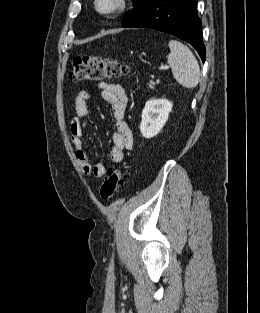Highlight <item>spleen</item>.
<instances>
[{"label":"spleen","instance_id":"3e777b00","mask_svg":"<svg viewBox=\"0 0 260 313\" xmlns=\"http://www.w3.org/2000/svg\"><path fill=\"white\" fill-rule=\"evenodd\" d=\"M170 54L167 62L175 80L185 88H194L200 81V68L191 50L180 41L169 42Z\"/></svg>","mask_w":260,"mask_h":313}]
</instances>
